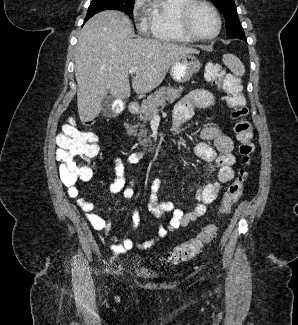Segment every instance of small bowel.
Here are the masks:
<instances>
[{"label": "small bowel", "mask_w": 298, "mask_h": 325, "mask_svg": "<svg viewBox=\"0 0 298 325\" xmlns=\"http://www.w3.org/2000/svg\"><path fill=\"white\" fill-rule=\"evenodd\" d=\"M215 104V96L210 91L205 89L191 91L177 103L174 109L172 123L173 134H177L180 127L192 118L195 107L210 109ZM201 138L203 141L196 144L194 154L210 163L211 170H217V180L201 185L196 192L194 208L190 212L184 213L181 209L176 208L172 202H160L158 200V192L163 184V180L159 178L154 179L150 185L147 207L158 218H163L167 213H170L171 217L167 225L161 224L158 227L157 235L154 238L137 245L138 247L142 249L151 248L169 232L185 227L202 217L206 213L207 206L217 198L222 185L229 183L234 178L233 166L236 160L232 153L233 141L231 137L223 133L217 126L208 125L202 129ZM208 141L213 142L214 146L209 145L207 143ZM144 156L143 152H133L125 160L120 158L114 160L116 177L109 187L111 193H121L126 199L133 197L135 182L132 178H126V174ZM68 194L73 198L78 197L79 190L77 186H68ZM77 203L85 213L89 224L99 233L100 239L104 241L109 236L110 223L95 213V205L93 202L79 198ZM132 223L133 230H137L140 227L141 218L136 209L132 213ZM111 240L113 241L111 249L115 253H125L135 246L134 241L129 236H125L121 240H117L116 238H111Z\"/></svg>", "instance_id": "obj_1"}]
</instances>
